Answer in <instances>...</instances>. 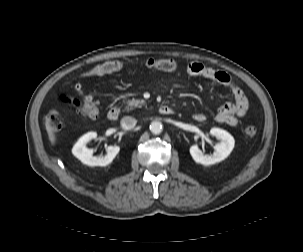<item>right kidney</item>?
<instances>
[{"mask_svg":"<svg viewBox=\"0 0 303 252\" xmlns=\"http://www.w3.org/2000/svg\"><path fill=\"white\" fill-rule=\"evenodd\" d=\"M97 138L96 132H88L83 135L72 148L73 155L78 158L83 164L89 166H107L110 164L120 151L119 146H108L105 156H93V150L88 149L86 144L92 139Z\"/></svg>","mask_w":303,"mask_h":252,"instance_id":"obj_1","label":"right kidney"}]
</instances>
